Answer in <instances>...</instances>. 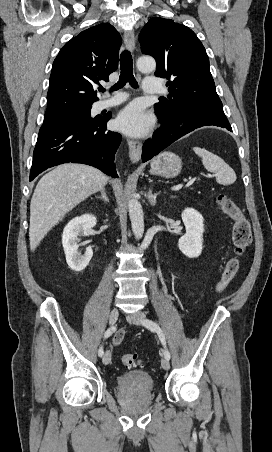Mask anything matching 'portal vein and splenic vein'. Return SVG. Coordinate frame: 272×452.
Listing matches in <instances>:
<instances>
[{
  "label": "portal vein and splenic vein",
  "instance_id": "18ae733b",
  "mask_svg": "<svg viewBox=\"0 0 272 452\" xmlns=\"http://www.w3.org/2000/svg\"><path fill=\"white\" fill-rule=\"evenodd\" d=\"M195 180H196V178H193L190 181H188V183L185 185V187L191 186L194 183ZM182 187H183L182 184H178V185L172 187V190H180Z\"/></svg>",
  "mask_w": 272,
  "mask_h": 452
}]
</instances>
